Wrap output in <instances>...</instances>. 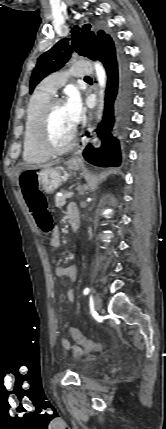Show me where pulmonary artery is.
<instances>
[{
    "instance_id": "obj_1",
    "label": "pulmonary artery",
    "mask_w": 166,
    "mask_h": 429,
    "mask_svg": "<svg viewBox=\"0 0 166 429\" xmlns=\"http://www.w3.org/2000/svg\"><path fill=\"white\" fill-rule=\"evenodd\" d=\"M72 75L75 77H84L92 74L91 66L88 62H76L67 72H57L52 74L41 86L44 91L54 94L59 87H61L65 81L66 75Z\"/></svg>"
}]
</instances>
